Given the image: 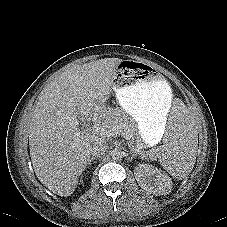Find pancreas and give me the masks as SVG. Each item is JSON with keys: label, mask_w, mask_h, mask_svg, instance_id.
Listing matches in <instances>:
<instances>
[{"label": "pancreas", "mask_w": 227, "mask_h": 227, "mask_svg": "<svg viewBox=\"0 0 227 227\" xmlns=\"http://www.w3.org/2000/svg\"><path fill=\"white\" fill-rule=\"evenodd\" d=\"M102 125L110 130L123 135L126 139L133 141L137 132L135 122L121 109H111L107 111ZM138 147H143L139 141H137Z\"/></svg>", "instance_id": "pancreas-1"}]
</instances>
